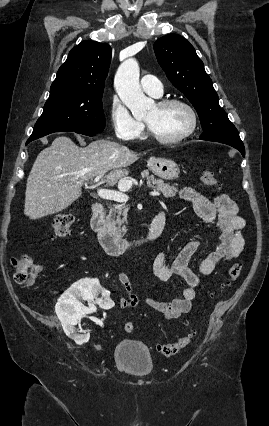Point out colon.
Masks as SVG:
<instances>
[{"instance_id":"colon-1","label":"colon","mask_w":269,"mask_h":426,"mask_svg":"<svg viewBox=\"0 0 269 426\" xmlns=\"http://www.w3.org/2000/svg\"><path fill=\"white\" fill-rule=\"evenodd\" d=\"M202 181L210 187H219L220 183L214 176V173L208 169H204L201 173ZM75 217L71 212H60L55 215L51 228V235L54 238L67 236L74 224ZM11 266L14 270V279L17 283L23 285L32 284L40 273V266L29 255L15 256L11 259ZM241 265L233 264L228 272L227 284L234 283L240 276ZM124 330L131 333L135 330L133 322H126ZM194 337V333H190L179 338L175 342L159 344L158 350L164 356H173L181 349L190 345Z\"/></svg>"}]
</instances>
